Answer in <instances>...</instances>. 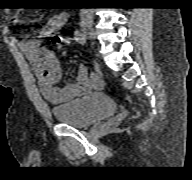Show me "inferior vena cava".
Here are the masks:
<instances>
[{"mask_svg":"<svg viewBox=\"0 0 192 180\" xmlns=\"http://www.w3.org/2000/svg\"><path fill=\"white\" fill-rule=\"evenodd\" d=\"M88 10H91V9H86V8H83L82 11H81V17L84 18L86 14H88V18L89 19H92V11H88Z\"/></svg>","mask_w":192,"mask_h":180,"instance_id":"inferior-vena-cava-1","label":"inferior vena cava"}]
</instances>
